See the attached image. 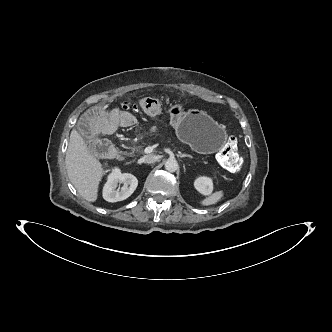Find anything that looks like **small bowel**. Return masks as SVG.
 I'll use <instances>...</instances> for the list:
<instances>
[{
    "label": "small bowel",
    "mask_w": 332,
    "mask_h": 332,
    "mask_svg": "<svg viewBox=\"0 0 332 332\" xmlns=\"http://www.w3.org/2000/svg\"><path fill=\"white\" fill-rule=\"evenodd\" d=\"M140 108L147 111L151 117L159 116L162 113V107L156 100L146 98L140 103ZM107 120V121H106ZM101 121H106L104 129L107 131L114 130L116 125L130 126L133 123V117L127 112L113 109L111 104L101 101L96 104L95 108H90L77 116L74 126L77 131L81 132L84 141L93 143L98 140L100 130L97 125Z\"/></svg>",
    "instance_id": "1"
}]
</instances>
